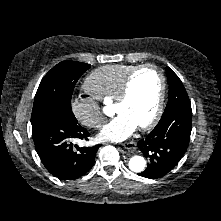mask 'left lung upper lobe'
I'll list each match as a JSON object with an SVG mask.
<instances>
[{
    "label": "left lung upper lobe",
    "mask_w": 221,
    "mask_h": 221,
    "mask_svg": "<svg viewBox=\"0 0 221 221\" xmlns=\"http://www.w3.org/2000/svg\"><path fill=\"white\" fill-rule=\"evenodd\" d=\"M166 72L169 84V100L163 115L175 109H191L188 94L179 77L169 67H166Z\"/></svg>",
    "instance_id": "left-lung-upper-lobe-1"
}]
</instances>
